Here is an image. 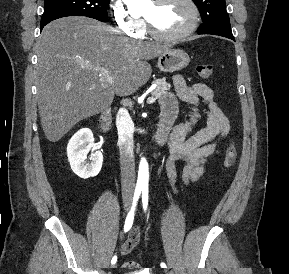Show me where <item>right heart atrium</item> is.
<instances>
[{
    "instance_id": "d8ad5b80",
    "label": "right heart atrium",
    "mask_w": 289,
    "mask_h": 274,
    "mask_svg": "<svg viewBox=\"0 0 289 274\" xmlns=\"http://www.w3.org/2000/svg\"><path fill=\"white\" fill-rule=\"evenodd\" d=\"M110 11L116 28L130 37H140L144 30V23L140 18L133 17L122 0H111Z\"/></svg>"
}]
</instances>
